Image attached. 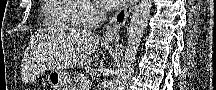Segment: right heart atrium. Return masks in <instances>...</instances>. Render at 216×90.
<instances>
[{
	"label": "right heart atrium",
	"instance_id": "d8ad5b80",
	"mask_svg": "<svg viewBox=\"0 0 216 90\" xmlns=\"http://www.w3.org/2000/svg\"><path fill=\"white\" fill-rule=\"evenodd\" d=\"M98 10L96 8H90L84 13V20H96Z\"/></svg>",
	"mask_w": 216,
	"mask_h": 90
}]
</instances>
